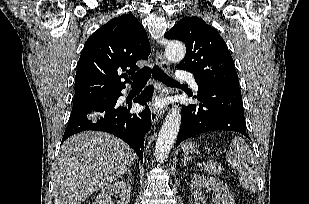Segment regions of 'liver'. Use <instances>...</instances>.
Listing matches in <instances>:
<instances>
[{
	"mask_svg": "<svg viewBox=\"0 0 309 204\" xmlns=\"http://www.w3.org/2000/svg\"><path fill=\"white\" fill-rule=\"evenodd\" d=\"M134 158L124 141L107 133L85 131L68 138L54 167V204H81L121 177Z\"/></svg>",
	"mask_w": 309,
	"mask_h": 204,
	"instance_id": "6515ba94",
	"label": "liver"
}]
</instances>
